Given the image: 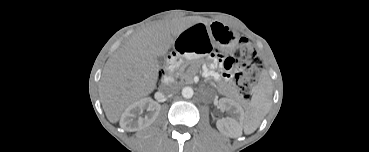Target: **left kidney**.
I'll list each match as a JSON object with an SVG mask.
<instances>
[{
  "label": "left kidney",
  "mask_w": 369,
  "mask_h": 152,
  "mask_svg": "<svg viewBox=\"0 0 369 152\" xmlns=\"http://www.w3.org/2000/svg\"><path fill=\"white\" fill-rule=\"evenodd\" d=\"M218 105L221 110L230 111L232 113V116L228 118V124L234 128H238L239 123L244 119L243 108L237 102L227 98L220 99Z\"/></svg>",
  "instance_id": "left-kidney-1"
}]
</instances>
